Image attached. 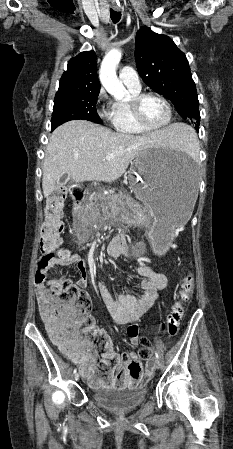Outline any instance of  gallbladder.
I'll return each mask as SVG.
<instances>
[{
	"mask_svg": "<svg viewBox=\"0 0 233 449\" xmlns=\"http://www.w3.org/2000/svg\"><path fill=\"white\" fill-rule=\"evenodd\" d=\"M69 180V177H65V176H63L62 178H61V180H60V182H59V185H58V188L59 189H56V191H55V193L57 194V195H62V194H64V190H61L60 188H63L64 187V184L67 182Z\"/></svg>",
	"mask_w": 233,
	"mask_h": 449,
	"instance_id": "1",
	"label": "gallbladder"
}]
</instances>
